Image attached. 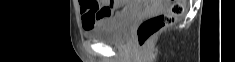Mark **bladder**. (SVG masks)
Returning <instances> with one entry per match:
<instances>
[{"instance_id":"31cf9c89","label":"bladder","mask_w":235,"mask_h":62,"mask_svg":"<svg viewBox=\"0 0 235 62\" xmlns=\"http://www.w3.org/2000/svg\"><path fill=\"white\" fill-rule=\"evenodd\" d=\"M138 17V9L135 6L124 8L100 27L86 31V36L103 43H122L129 32V29Z\"/></svg>"}]
</instances>
